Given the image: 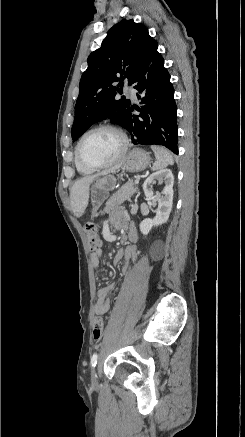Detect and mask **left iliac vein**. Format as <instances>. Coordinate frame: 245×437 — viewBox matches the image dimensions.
Wrapping results in <instances>:
<instances>
[{
  "label": "left iliac vein",
  "instance_id": "obj_1",
  "mask_svg": "<svg viewBox=\"0 0 245 437\" xmlns=\"http://www.w3.org/2000/svg\"><path fill=\"white\" fill-rule=\"evenodd\" d=\"M91 382H92L93 386H96L97 383H98V379H97V374H96L95 368H93L91 370Z\"/></svg>",
  "mask_w": 245,
  "mask_h": 437
}]
</instances>
